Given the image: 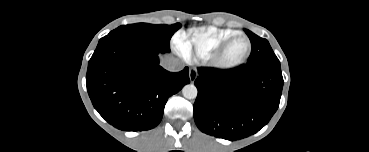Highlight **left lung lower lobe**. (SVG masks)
I'll use <instances>...</instances> for the list:
<instances>
[{
	"label": "left lung lower lobe",
	"mask_w": 369,
	"mask_h": 152,
	"mask_svg": "<svg viewBox=\"0 0 369 152\" xmlns=\"http://www.w3.org/2000/svg\"><path fill=\"white\" fill-rule=\"evenodd\" d=\"M194 120L204 133L239 140L262 129L276 112L283 87L280 64H245L232 71L198 69Z\"/></svg>",
	"instance_id": "0a47b994"
}]
</instances>
